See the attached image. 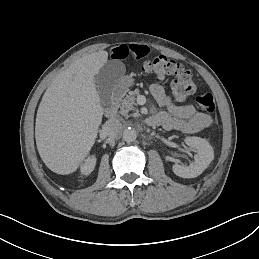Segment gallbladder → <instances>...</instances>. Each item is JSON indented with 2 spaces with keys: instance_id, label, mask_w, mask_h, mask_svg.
Listing matches in <instances>:
<instances>
[{
  "instance_id": "obj_1",
  "label": "gallbladder",
  "mask_w": 259,
  "mask_h": 259,
  "mask_svg": "<svg viewBox=\"0 0 259 259\" xmlns=\"http://www.w3.org/2000/svg\"><path fill=\"white\" fill-rule=\"evenodd\" d=\"M125 73L124 64L119 60H111L105 63L95 76L98 95L103 109L112 105V92Z\"/></svg>"
}]
</instances>
